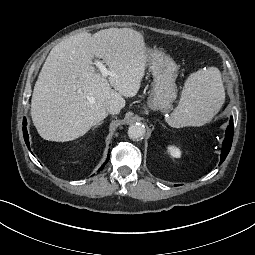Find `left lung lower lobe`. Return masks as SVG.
<instances>
[{
    "instance_id": "obj_1",
    "label": "left lung lower lobe",
    "mask_w": 255,
    "mask_h": 255,
    "mask_svg": "<svg viewBox=\"0 0 255 255\" xmlns=\"http://www.w3.org/2000/svg\"><path fill=\"white\" fill-rule=\"evenodd\" d=\"M232 140H233V118L231 117L229 126L227 127V130H226V136L223 142L220 164H222V162L225 160L226 156L228 155L232 145Z\"/></svg>"
}]
</instances>
